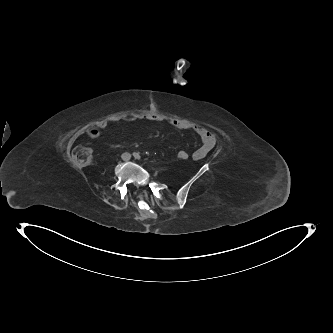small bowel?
I'll return each mask as SVG.
<instances>
[{
    "instance_id": "obj_1",
    "label": "small bowel",
    "mask_w": 333,
    "mask_h": 333,
    "mask_svg": "<svg viewBox=\"0 0 333 333\" xmlns=\"http://www.w3.org/2000/svg\"><path fill=\"white\" fill-rule=\"evenodd\" d=\"M129 123H135L137 121H156L160 122L162 119L158 116L150 114L132 115L127 118ZM110 124L108 120L98 121L92 128L88 130V136L91 139H96L102 130H105ZM170 124L179 130H190L195 132L202 141V145L192 154L194 160L204 159L209 152L214 148L216 144L215 135L207 128L192 123L184 119H172ZM179 152V151H178ZM186 152V151H185Z\"/></svg>"
}]
</instances>
